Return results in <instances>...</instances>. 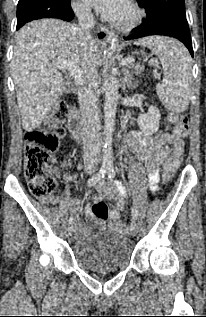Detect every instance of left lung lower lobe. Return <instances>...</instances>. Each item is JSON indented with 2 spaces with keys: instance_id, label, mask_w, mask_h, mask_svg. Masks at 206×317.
Masks as SVG:
<instances>
[{
  "instance_id": "left-lung-lower-lobe-1",
  "label": "left lung lower lobe",
  "mask_w": 206,
  "mask_h": 317,
  "mask_svg": "<svg viewBox=\"0 0 206 317\" xmlns=\"http://www.w3.org/2000/svg\"><path fill=\"white\" fill-rule=\"evenodd\" d=\"M133 34L125 40L137 39L149 35H165L180 40L193 56V48L186 17L176 14H160L143 20L142 24L133 29Z\"/></svg>"
}]
</instances>
